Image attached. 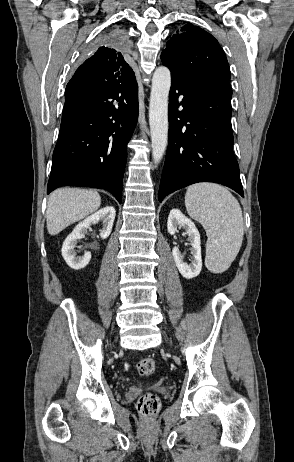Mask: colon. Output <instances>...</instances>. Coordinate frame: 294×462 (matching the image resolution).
<instances>
[{
  "label": "colon",
  "mask_w": 294,
  "mask_h": 462,
  "mask_svg": "<svg viewBox=\"0 0 294 462\" xmlns=\"http://www.w3.org/2000/svg\"><path fill=\"white\" fill-rule=\"evenodd\" d=\"M137 370L143 377L150 376L155 370V361L152 358H143L138 362ZM137 408L143 417L150 418L158 412L160 400L152 393L143 394L138 399Z\"/></svg>",
  "instance_id": "colon-1"
}]
</instances>
